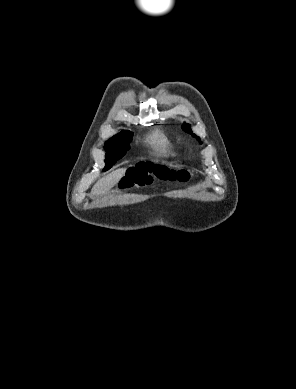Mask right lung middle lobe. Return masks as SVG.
Wrapping results in <instances>:
<instances>
[{"instance_id": "1", "label": "right lung middle lobe", "mask_w": 296, "mask_h": 389, "mask_svg": "<svg viewBox=\"0 0 296 389\" xmlns=\"http://www.w3.org/2000/svg\"><path fill=\"white\" fill-rule=\"evenodd\" d=\"M133 133L130 131H122L117 136H114L106 142L105 150L107 157L105 160L106 166L104 171L110 169L112 165L123 157L127 150H129V142L132 139Z\"/></svg>"}]
</instances>
